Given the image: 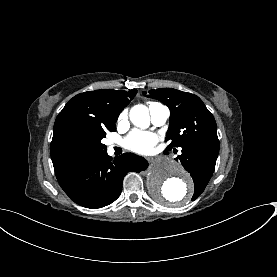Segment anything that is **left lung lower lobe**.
Wrapping results in <instances>:
<instances>
[{
  "label": "left lung lower lobe",
  "instance_id": "obj_1",
  "mask_svg": "<svg viewBox=\"0 0 277 277\" xmlns=\"http://www.w3.org/2000/svg\"><path fill=\"white\" fill-rule=\"evenodd\" d=\"M181 148L182 154L178 156V159L192 176L195 190H198L201 181L210 179L214 172L219 153V141L208 138L184 145Z\"/></svg>",
  "mask_w": 277,
  "mask_h": 277
}]
</instances>
